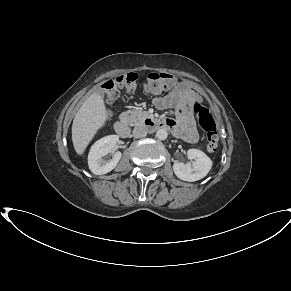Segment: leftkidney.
Instances as JSON below:
<instances>
[{"instance_id":"left-kidney-1","label":"left kidney","mask_w":291,"mask_h":291,"mask_svg":"<svg viewBox=\"0 0 291 291\" xmlns=\"http://www.w3.org/2000/svg\"><path fill=\"white\" fill-rule=\"evenodd\" d=\"M187 157L195 161L187 164L175 162L173 164L175 175L179 179L188 182H194L204 178L212 167L211 159L198 149H189L187 151Z\"/></svg>"}]
</instances>
